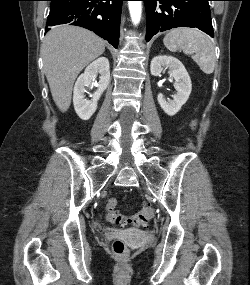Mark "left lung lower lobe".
I'll list each match as a JSON object with an SVG mask.
<instances>
[{
  "label": "left lung lower lobe",
  "mask_w": 250,
  "mask_h": 285,
  "mask_svg": "<svg viewBox=\"0 0 250 285\" xmlns=\"http://www.w3.org/2000/svg\"><path fill=\"white\" fill-rule=\"evenodd\" d=\"M147 15L146 41L153 35L177 27L198 28L214 37L209 1L142 0Z\"/></svg>",
  "instance_id": "left-lung-lower-lobe-1"
}]
</instances>
